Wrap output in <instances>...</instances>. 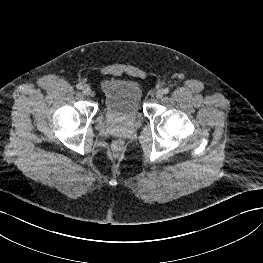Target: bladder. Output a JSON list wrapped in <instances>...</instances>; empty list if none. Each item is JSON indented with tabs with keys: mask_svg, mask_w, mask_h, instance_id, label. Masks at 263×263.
I'll return each mask as SVG.
<instances>
[{
	"mask_svg": "<svg viewBox=\"0 0 263 263\" xmlns=\"http://www.w3.org/2000/svg\"><path fill=\"white\" fill-rule=\"evenodd\" d=\"M103 115L116 125H133L141 112L142 86L132 78L109 77L101 82Z\"/></svg>",
	"mask_w": 263,
	"mask_h": 263,
	"instance_id": "31cf9c89",
	"label": "bladder"
}]
</instances>
